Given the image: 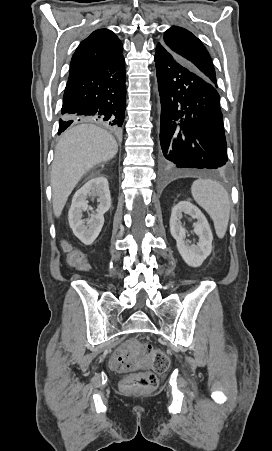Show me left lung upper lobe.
<instances>
[{"mask_svg":"<svg viewBox=\"0 0 272 451\" xmlns=\"http://www.w3.org/2000/svg\"><path fill=\"white\" fill-rule=\"evenodd\" d=\"M161 43L170 51L187 61L209 82L217 87L215 70L211 58L201 41L191 32L182 27L173 26L165 32Z\"/></svg>","mask_w":272,"mask_h":451,"instance_id":"obj_1","label":"left lung upper lobe"}]
</instances>
